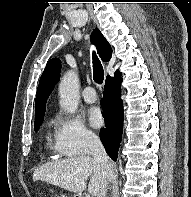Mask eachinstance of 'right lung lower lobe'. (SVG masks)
I'll use <instances>...</instances> for the list:
<instances>
[{"label": "right lung lower lobe", "mask_w": 191, "mask_h": 197, "mask_svg": "<svg viewBox=\"0 0 191 197\" xmlns=\"http://www.w3.org/2000/svg\"><path fill=\"white\" fill-rule=\"evenodd\" d=\"M121 74L107 77L101 105L104 111L105 128L100 133L107 154L116 161L123 131V103L121 94Z\"/></svg>", "instance_id": "right-lung-lower-lobe-1"}]
</instances>
